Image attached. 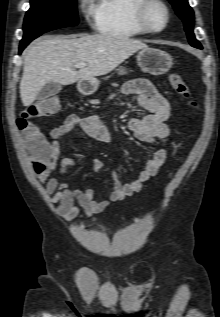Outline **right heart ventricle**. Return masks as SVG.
<instances>
[{"instance_id":"obj_1","label":"right heart ventricle","mask_w":220,"mask_h":317,"mask_svg":"<svg viewBox=\"0 0 220 317\" xmlns=\"http://www.w3.org/2000/svg\"><path fill=\"white\" fill-rule=\"evenodd\" d=\"M141 0H97L94 18L104 35L130 38L147 33L136 21L135 9Z\"/></svg>"}]
</instances>
